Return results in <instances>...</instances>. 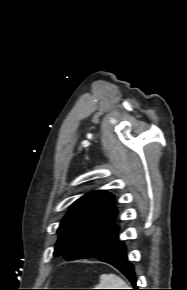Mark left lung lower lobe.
<instances>
[{"instance_id": "1", "label": "left lung lower lobe", "mask_w": 187, "mask_h": 290, "mask_svg": "<svg viewBox=\"0 0 187 290\" xmlns=\"http://www.w3.org/2000/svg\"><path fill=\"white\" fill-rule=\"evenodd\" d=\"M118 230L119 228L92 257L116 267L129 279L135 288L134 290H139L136 286L134 268L127 260L126 247L119 241Z\"/></svg>"}]
</instances>
